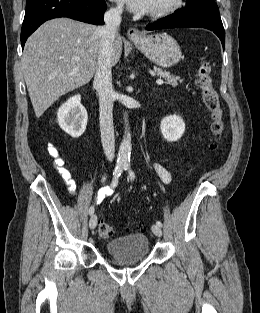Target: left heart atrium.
<instances>
[{
    "label": "left heart atrium",
    "instance_id": "1",
    "mask_svg": "<svg viewBox=\"0 0 260 313\" xmlns=\"http://www.w3.org/2000/svg\"><path fill=\"white\" fill-rule=\"evenodd\" d=\"M125 4L133 12H147L151 9L152 0H116Z\"/></svg>",
    "mask_w": 260,
    "mask_h": 313
}]
</instances>
